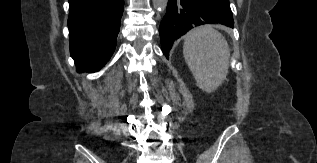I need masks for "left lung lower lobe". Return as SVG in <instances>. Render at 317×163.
Wrapping results in <instances>:
<instances>
[{"label": "left lung lower lobe", "instance_id": "obj_1", "mask_svg": "<svg viewBox=\"0 0 317 163\" xmlns=\"http://www.w3.org/2000/svg\"><path fill=\"white\" fill-rule=\"evenodd\" d=\"M213 23L233 28L229 0H169L159 28L166 58H169L168 52L177 38L196 26Z\"/></svg>", "mask_w": 317, "mask_h": 163}]
</instances>
